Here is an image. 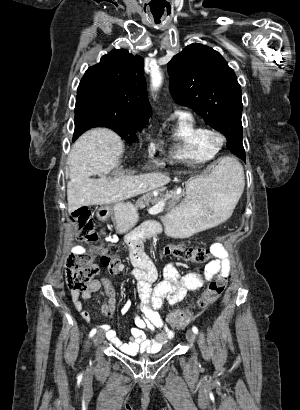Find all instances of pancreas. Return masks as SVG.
Returning <instances> with one entry per match:
<instances>
[{
	"instance_id": "obj_1",
	"label": "pancreas",
	"mask_w": 300,
	"mask_h": 410,
	"mask_svg": "<svg viewBox=\"0 0 300 410\" xmlns=\"http://www.w3.org/2000/svg\"><path fill=\"white\" fill-rule=\"evenodd\" d=\"M182 194H177L175 191H169L165 194L160 192L158 196H154L153 193H147L143 195L137 203V207H144L149 204H157L163 199L169 200L166 209H173L181 200Z\"/></svg>"
}]
</instances>
